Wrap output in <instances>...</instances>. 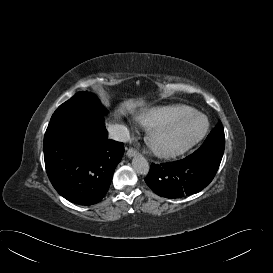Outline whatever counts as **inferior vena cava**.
I'll list each match as a JSON object with an SVG mask.
<instances>
[{
    "instance_id": "1",
    "label": "inferior vena cava",
    "mask_w": 273,
    "mask_h": 273,
    "mask_svg": "<svg viewBox=\"0 0 273 273\" xmlns=\"http://www.w3.org/2000/svg\"><path fill=\"white\" fill-rule=\"evenodd\" d=\"M108 133L109 138L121 141V142H127L129 140V130L122 125H111L108 127Z\"/></svg>"
}]
</instances>
